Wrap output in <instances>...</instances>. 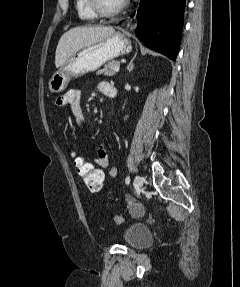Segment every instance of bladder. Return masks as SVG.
<instances>
[{
    "label": "bladder",
    "mask_w": 240,
    "mask_h": 287,
    "mask_svg": "<svg viewBox=\"0 0 240 287\" xmlns=\"http://www.w3.org/2000/svg\"><path fill=\"white\" fill-rule=\"evenodd\" d=\"M151 241V230L144 224L132 223L124 231V243L131 248L148 246Z\"/></svg>",
    "instance_id": "obj_1"
}]
</instances>
